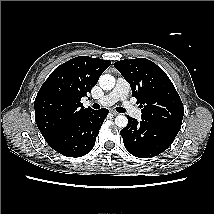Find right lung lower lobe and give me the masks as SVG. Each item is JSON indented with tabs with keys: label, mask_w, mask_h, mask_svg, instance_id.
<instances>
[{
	"label": "right lung lower lobe",
	"mask_w": 214,
	"mask_h": 214,
	"mask_svg": "<svg viewBox=\"0 0 214 214\" xmlns=\"http://www.w3.org/2000/svg\"><path fill=\"white\" fill-rule=\"evenodd\" d=\"M107 109L91 110L76 118L53 135L47 143L67 157H81L94 147L99 129L107 117Z\"/></svg>",
	"instance_id": "obj_1"
}]
</instances>
